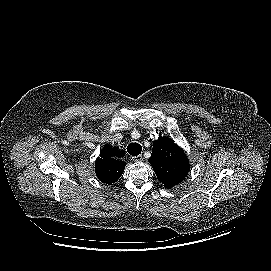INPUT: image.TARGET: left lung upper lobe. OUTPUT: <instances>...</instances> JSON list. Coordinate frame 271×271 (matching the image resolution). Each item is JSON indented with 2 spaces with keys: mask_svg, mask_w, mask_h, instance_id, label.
<instances>
[{
  "mask_svg": "<svg viewBox=\"0 0 271 271\" xmlns=\"http://www.w3.org/2000/svg\"><path fill=\"white\" fill-rule=\"evenodd\" d=\"M149 162L164 187L172 188L187 176L190 165L187 156L171 138L159 137L153 143Z\"/></svg>",
  "mask_w": 271,
  "mask_h": 271,
  "instance_id": "obj_1",
  "label": "left lung upper lobe"
}]
</instances>
